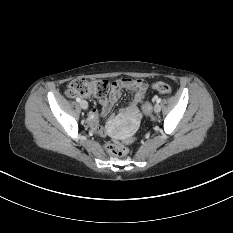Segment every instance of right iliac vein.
<instances>
[{
    "mask_svg": "<svg viewBox=\"0 0 233 233\" xmlns=\"http://www.w3.org/2000/svg\"><path fill=\"white\" fill-rule=\"evenodd\" d=\"M80 106L82 109L86 110L88 108V103L85 100L80 101Z\"/></svg>",
    "mask_w": 233,
    "mask_h": 233,
    "instance_id": "right-iliac-vein-1",
    "label": "right iliac vein"
}]
</instances>
